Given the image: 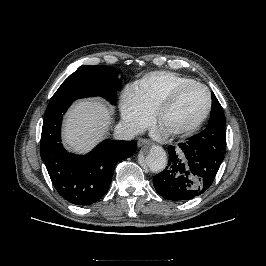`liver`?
Returning <instances> with one entry per match:
<instances>
[{"instance_id":"1","label":"liver","mask_w":266,"mask_h":266,"mask_svg":"<svg viewBox=\"0 0 266 266\" xmlns=\"http://www.w3.org/2000/svg\"><path fill=\"white\" fill-rule=\"evenodd\" d=\"M111 115V109L100 99L76 102L64 120V143L72 151L87 153L108 131Z\"/></svg>"}]
</instances>
